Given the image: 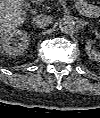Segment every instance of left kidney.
I'll use <instances>...</instances> for the list:
<instances>
[{"label": "left kidney", "instance_id": "1", "mask_svg": "<svg viewBox=\"0 0 100 118\" xmlns=\"http://www.w3.org/2000/svg\"><path fill=\"white\" fill-rule=\"evenodd\" d=\"M92 41H88L85 46L86 53L91 60L100 61V53L92 48Z\"/></svg>", "mask_w": 100, "mask_h": 118}]
</instances>
